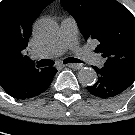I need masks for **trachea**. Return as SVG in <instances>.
<instances>
[{"instance_id": "1", "label": "trachea", "mask_w": 135, "mask_h": 135, "mask_svg": "<svg viewBox=\"0 0 135 135\" xmlns=\"http://www.w3.org/2000/svg\"><path fill=\"white\" fill-rule=\"evenodd\" d=\"M64 63H81V60L77 58L69 57L64 60ZM53 65H54V61L47 60V59H42L37 62V67H45V66H53Z\"/></svg>"}]
</instances>
